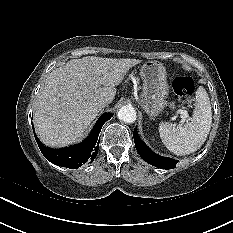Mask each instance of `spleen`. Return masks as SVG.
Wrapping results in <instances>:
<instances>
[{"label": "spleen", "mask_w": 233, "mask_h": 233, "mask_svg": "<svg viewBox=\"0 0 233 233\" xmlns=\"http://www.w3.org/2000/svg\"><path fill=\"white\" fill-rule=\"evenodd\" d=\"M212 110L206 90L200 86L196 91V104L190 122L175 125L159 124V134L166 148L177 156L187 155L200 149L210 132Z\"/></svg>", "instance_id": "obj_1"}]
</instances>
